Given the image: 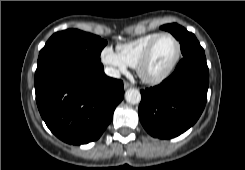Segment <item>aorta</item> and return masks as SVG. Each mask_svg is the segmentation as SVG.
Returning a JSON list of instances; mask_svg holds the SVG:
<instances>
[{
	"label": "aorta",
	"instance_id": "1",
	"mask_svg": "<svg viewBox=\"0 0 245 170\" xmlns=\"http://www.w3.org/2000/svg\"><path fill=\"white\" fill-rule=\"evenodd\" d=\"M125 99L130 104H138L141 101V94L139 90L130 88L125 93Z\"/></svg>",
	"mask_w": 245,
	"mask_h": 170
}]
</instances>
